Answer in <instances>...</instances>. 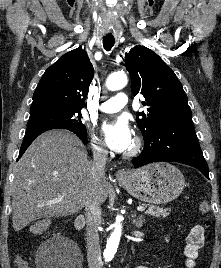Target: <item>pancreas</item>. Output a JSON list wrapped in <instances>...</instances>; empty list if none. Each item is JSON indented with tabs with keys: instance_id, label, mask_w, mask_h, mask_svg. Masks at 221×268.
<instances>
[{
	"instance_id": "pancreas-1",
	"label": "pancreas",
	"mask_w": 221,
	"mask_h": 268,
	"mask_svg": "<svg viewBox=\"0 0 221 268\" xmlns=\"http://www.w3.org/2000/svg\"><path fill=\"white\" fill-rule=\"evenodd\" d=\"M170 209L168 208H160L154 205H148V209L145 211V214L156 216V217H167L169 216Z\"/></svg>"
}]
</instances>
